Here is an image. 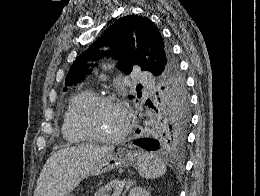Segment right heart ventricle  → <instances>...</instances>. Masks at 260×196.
<instances>
[{"instance_id": "e07e8e85", "label": "right heart ventricle", "mask_w": 260, "mask_h": 196, "mask_svg": "<svg viewBox=\"0 0 260 196\" xmlns=\"http://www.w3.org/2000/svg\"><path fill=\"white\" fill-rule=\"evenodd\" d=\"M95 97V93L90 89L79 91L71 101L64 115L62 124V134L70 145H77L86 140L88 136L82 132L78 125L77 119L79 112Z\"/></svg>"}]
</instances>
